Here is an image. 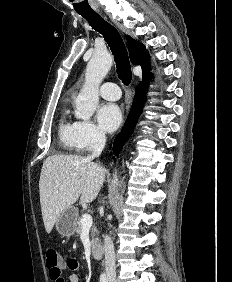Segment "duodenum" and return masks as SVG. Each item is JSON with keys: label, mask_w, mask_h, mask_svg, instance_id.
Here are the masks:
<instances>
[{"label": "duodenum", "mask_w": 232, "mask_h": 282, "mask_svg": "<svg viewBox=\"0 0 232 282\" xmlns=\"http://www.w3.org/2000/svg\"><path fill=\"white\" fill-rule=\"evenodd\" d=\"M91 253L94 259L100 260L103 257L104 249L101 243L95 242L92 244Z\"/></svg>", "instance_id": "410a0bca"}]
</instances>
